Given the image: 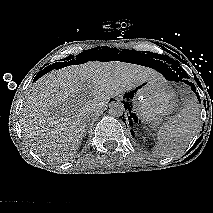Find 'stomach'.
Here are the masks:
<instances>
[{
  "label": "stomach",
  "instance_id": "obj_1",
  "mask_svg": "<svg viewBox=\"0 0 213 213\" xmlns=\"http://www.w3.org/2000/svg\"><path fill=\"white\" fill-rule=\"evenodd\" d=\"M131 92L135 114L140 121L146 123L155 124L179 107L177 93L163 78L145 81Z\"/></svg>",
  "mask_w": 213,
  "mask_h": 213
}]
</instances>
